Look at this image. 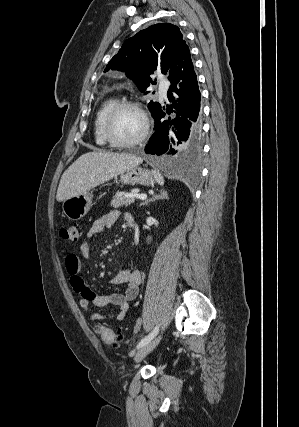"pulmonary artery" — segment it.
Masks as SVG:
<instances>
[{
    "instance_id": "1",
    "label": "pulmonary artery",
    "mask_w": 299,
    "mask_h": 427,
    "mask_svg": "<svg viewBox=\"0 0 299 427\" xmlns=\"http://www.w3.org/2000/svg\"><path fill=\"white\" fill-rule=\"evenodd\" d=\"M169 88V83L165 80L160 81L159 94L161 97H166Z\"/></svg>"
}]
</instances>
